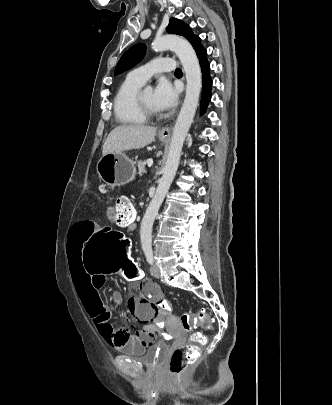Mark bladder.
<instances>
[{"label":"bladder","instance_id":"bladder-1","mask_svg":"<svg viewBox=\"0 0 332 405\" xmlns=\"http://www.w3.org/2000/svg\"><path fill=\"white\" fill-rule=\"evenodd\" d=\"M168 347L164 343H157L149 347L148 349H142L140 352H135L131 348H122L120 352L140 361L148 366H156L160 364L166 357Z\"/></svg>","mask_w":332,"mask_h":405}]
</instances>
